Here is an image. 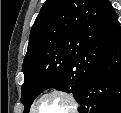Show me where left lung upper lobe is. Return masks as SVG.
<instances>
[{
  "mask_svg": "<svg viewBox=\"0 0 121 113\" xmlns=\"http://www.w3.org/2000/svg\"><path fill=\"white\" fill-rule=\"evenodd\" d=\"M119 29L108 0H46L32 26L22 67L24 113L50 87L78 100Z\"/></svg>",
  "mask_w": 121,
  "mask_h": 113,
  "instance_id": "obj_1",
  "label": "left lung upper lobe"
}]
</instances>
